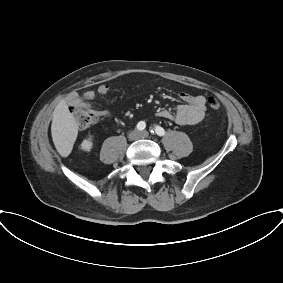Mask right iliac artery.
Masks as SVG:
<instances>
[{
  "instance_id": "obj_1",
  "label": "right iliac artery",
  "mask_w": 283,
  "mask_h": 283,
  "mask_svg": "<svg viewBox=\"0 0 283 283\" xmlns=\"http://www.w3.org/2000/svg\"><path fill=\"white\" fill-rule=\"evenodd\" d=\"M146 127V123L144 121H140L138 124H137V129L142 131L144 130Z\"/></svg>"
}]
</instances>
